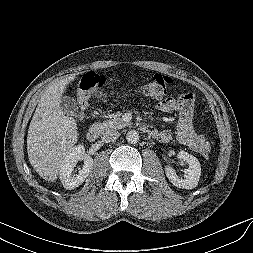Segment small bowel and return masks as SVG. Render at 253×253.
<instances>
[{
    "label": "small bowel",
    "instance_id": "c3829d8e",
    "mask_svg": "<svg viewBox=\"0 0 253 253\" xmlns=\"http://www.w3.org/2000/svg\"><path fill=\"white\" fill-rule=\"evenodd\" d=\"M193 108L194 100L189 101L180 98L174 99L172 97L165 98L157 104V109L161 112H176L178 114L179 120L176 128L177 138L184 146L190 150L199 151L203 137L198 135L194 130ZM147 126H149L151 129L149 135L158 141L167 143L171 140L172 136L169 131H158L150 125Z\"/></svg>",
    "mask_w": 253,
    "mask_h": 253
}]
</instances>
